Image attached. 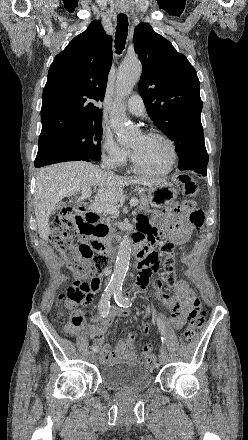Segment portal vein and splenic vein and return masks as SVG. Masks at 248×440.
<instances>
[{
    "instance_id": "18ae733b",
    "label": "portal vein and splenic vein",
    "mask_w": 248,
    "mask_h": 440,
    "mask_svg": "<svg viewBox=\"0 0 248 440\" xmlns=\"http://www.w3.org/2000/svg\"><path fill=\"white\" fill-rule=\"evenodd\" d=\"M90 195H91L90 188L82 189V195L79 198V201H82V200L90 197ZM138 202H139L138 199L132 198L130 200V206L134 207V206L138 205ZM89 209H91L93 211L101 212V213H108L111 215H118L119 214V210L115 206L110 205L108 203L95 202L90 205Z\"/></svg>"
}]
</instances>
